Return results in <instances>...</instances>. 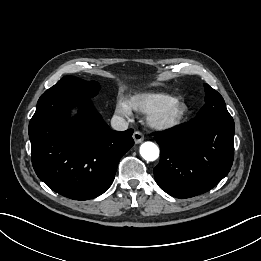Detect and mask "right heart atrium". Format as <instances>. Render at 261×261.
Returning <instances> with one entry per match:
<instances>
[{"mask_svg":"<svg viewBox=\"0 0 261 261\" xmlns=\"http://www.w3.org/2000/svg\"><path fill=\"white\" fill-rule=\"evenodd\" d=\"M116 112L123 117H129L131 115V107L125 99L120 98L116 104Z\"/></svg>","mask_w":261,"mask_h":261,"instance_id":"obj_1","label":"right heart atrium"}]
</instances>
